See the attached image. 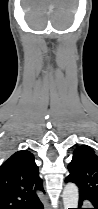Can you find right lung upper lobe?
<instances>
[{
  "instance_id": "obj_1",
  "label": "right lung upper lobe",
  "mask_w": 98,
  "mask_h": 209,
  "mask_svg": "<svg viewBox=\"0 0 98 209\" xmlns=\"http://www.w3.org/2000/svg\"><path fill=\"white\" fill-rule=\"evenodd\" d=\"M44 191L39 169L30 151L14 153L0 166V209H23Z\"/></svg>"
}]
</instances>
